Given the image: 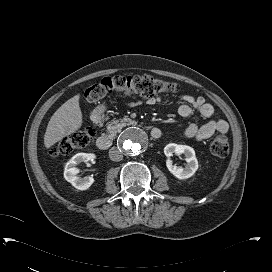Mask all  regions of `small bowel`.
Listing matches in <instances>:
<instances>
[{
    "label": "small bowel",
    "instance_id": "c3829d8e",
    "mask_svg": "<svg viewBox=\"0 0 272 272\" xmlns=\"http://www.w3.org/2000/svg\"><path fill=\"white\" fill-rule=\"evenodd\" d=\"M180 99L183 103L178 108V113L183 118H189L196 109L199 115L205 119L201 125L190 123L183 132V136L189 138H196L197 140H204L212 136L214 133H227L228 123L222 118H214V107L212 104L206 102L202 96L194 97L189 94H181ZM161 102L160 97L150 98L145 104L155 105ZM139 103H133L136 105Z\"/></svg>",
    "mask_w": 272,
    "mask_h": 272
}]
</instances>
